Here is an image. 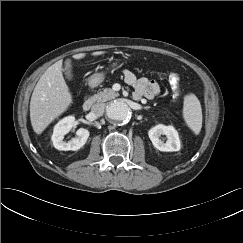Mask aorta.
<instances>
[{"label":"aorta","mask_w":243,"mask_h":243,"mask_svg":"<svg viewBox=\"0 0 243 243\" xmlns=\"http://www.w3.org/2000/svg\"><path fill=\"white\" fill-rule=\"evenodd\" d=\"M107 116L118 122H126L131 117V111L128 105L122 101H116L107 106Z\"/></svg>","instance_id":"1"}]
</instances>
